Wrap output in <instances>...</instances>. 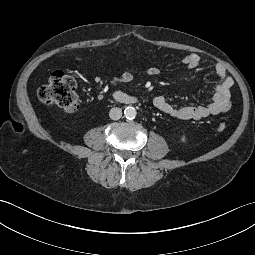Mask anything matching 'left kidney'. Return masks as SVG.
Returning a JSON list of instances; mask_svg holds the SVG:
<instances>
[{
	"label": "left kidney",
	"mask_w": 255,
	"mask_h": 255,
	"mask_svg": "<svg viewBox=\"0 0 255 255\" xmlns=\"http://www.w3.org/2000/svg\"><path fill=\"white\" fill-rule=\"evenodd\" d=\"M181 140L184 142L186 140L185 136H182Z\"/></svg>",
	"instance_id": "obj_1"
}]
</instances>
